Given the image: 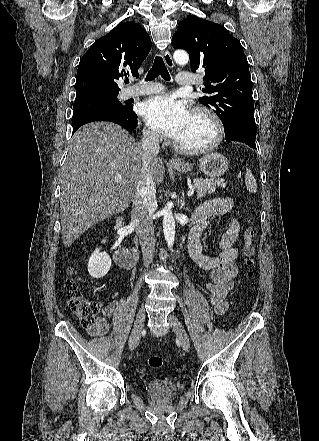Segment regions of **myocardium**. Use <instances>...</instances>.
Returning <instances> with one entry per match:
<instances>
[{
    "label": "myocardium",
    "mask_w": 319,
    "mask_h": 441,
    "mask_svg": "<svg viewBox=\"0 0 319 441\" xmlns=\"http://www.w3.org/2000/svg\"><path fill=\"white\" fill-rule=\"evenodd\" d=\"M192 115L203 116L210 121L213 127L212 139L200 146H185L175 140L173 146L178 152L183 154L197 155L207 153L217 147L223 139L224 127L222 121L215 112L203 106L195 107L192 110Z\"/></svg>",
    "instance_id": "1"
}]
</instances>
